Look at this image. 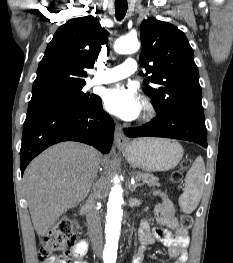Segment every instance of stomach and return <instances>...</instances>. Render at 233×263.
Wrapping results in <instances>:
<instances>
[{
	"mask_svg": "<svg viewBox=\"0 0 233 263\" xmlns=\"http://www.w3.org/2000/svg\"><path fill=\"white\" fill-rule=\"evenodd\" d=\"M121 151L132 166L151 172L170 170L183 156V148L178 142L163 138L135 139Z\"/></svg>",
	"mask_w": 233,
	"mask_h": 263,
	"instance_id": "obj_1",
	"label": "stomach"
}]
</instances>
